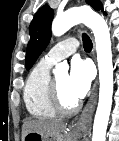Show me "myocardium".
<instances>
[{"mask_svg": "<svg viewBox=\"0 0 119 141\" xmlns=\"http://www.w3.org/2000/svg\"><path fill=\"white\" fill-rule=\"evenodd\" d=\"M48 99L52 109L56 114L68 116L76 113L80 108V102H76L73 106H65L61 101L57 83L54 78L51 79L49 89H48Z\"/></svg>", "mask_w": 119, "mask_h": 141, "instance_id": "myocardium-1", "label": "myocardium"}]
</instances>
